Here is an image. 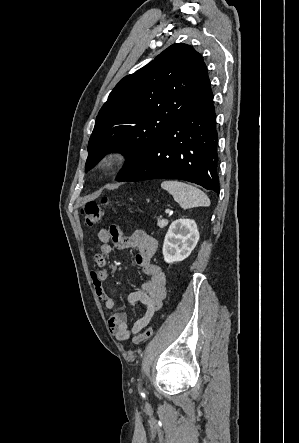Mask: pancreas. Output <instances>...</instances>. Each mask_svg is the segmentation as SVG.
Segmentation results:
<instances>
[{
	"instance_id": "obj_1",
	"label": "pancreas",
	"mask_w": 299,
	"mask_h": 443,
	"mask_svg": "<svg viewBox=\"0 0 299 443\" xmlns=\"http://www.w3.org/2000/svg\"><path fill=\"white\" fill-rule=\"evenodd\" d=\"M157 225L160 228H164L165 226L168 225V220L167 219H158Z\"/></svg>"
}]
</instances>
